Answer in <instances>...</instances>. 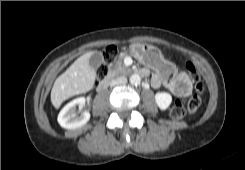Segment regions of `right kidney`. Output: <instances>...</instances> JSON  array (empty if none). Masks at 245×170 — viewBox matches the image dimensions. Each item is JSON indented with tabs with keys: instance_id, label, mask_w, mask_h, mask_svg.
<instances>
[{
	"instance_id": "1",
	"label": "right kidney",
	"mask_w": 245,
	"mask_h": 170,
	"mask_svg": "<svg viewBox=\"0 0 245 170\" xmlns=\"http://www.w3.org/2000/svg\"><path fill=\"white\" fill-rule=\"evenodd\" d=\"M85 103L84 97H78L65 105L57 118L60 126L65 129H75L85 125L90 119V113L83 111L80 116L75 113L76 106L84 107Z\"/></svg>"
}]
</instances>
